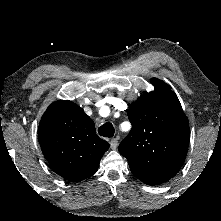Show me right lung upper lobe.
Returning a JSON list of instances; mask_svg holds the SVG:
<instances>
[{
	"label": "right lung upper lobe",
	"instance_id": "obj_1",
	"mask_svg": "<svg viewBox=\"0 0 221 221\" xmlns=\"http://www.w3.org/2000/svg\"><path fill=\"white\" fill-rule=\"evenodd\" d=\"M38 136L52 170L72 182L95 174L109 148L108 142L97 136L91 118L71 101L58 100L48 107Z\"/></svg>",
	"mask_w": 221,
	"mask_h": 221
}]
</instances>
